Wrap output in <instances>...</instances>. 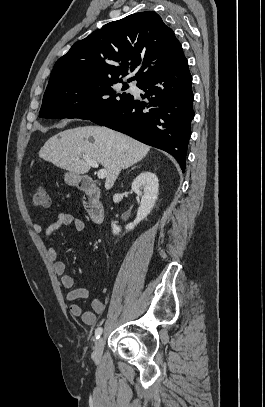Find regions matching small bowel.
<instances>
[{"label":"small bowel","instance_id":"c3829d8e","mask_svg":"<svg viewBox=\"0 0 265 407\" xmlns=\"http://www.w3.org/2000/svg\"><path fill=\"white\" fill-rule=\"evenodd\" d=\"M62 227H73L77 231H82L85 228V223L81 218L71 213L61 212L58 214L57 219L49 223L45 229H43L40 223H35L33 230L38 234L43 232V242L46 244L48 258L52 261L56 274L61 277L62 286L68 290L66 299L72 302L70 313L73 316L81 317L86 325H95L97 315L103 314L105 311V303L99 298L93 299L92 311H83L81 306L75 303V301L88 298V289L85 287H75L74 277L66 273V265L63 261L58 260V253L55 247L47 245L49 237Z\"/></svg>","mask_w":265,"mask_h":407}]
</instances>
